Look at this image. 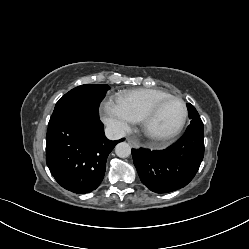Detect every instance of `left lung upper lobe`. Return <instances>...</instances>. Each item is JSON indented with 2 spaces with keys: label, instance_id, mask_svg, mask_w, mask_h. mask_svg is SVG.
<instances>
[{
  "label": "left lung upper lobe",
  "instance_id": "left-lung-upper-lobe-1",
  "mask_svg": "<svg viewBox=\"0 0 249 249\" xmlns=\"http://www.w3.org/2000/svg\"><path fill=\"white\" fill-rule=\"evenodd\" d=\"M187 108H188L189 118L191 119L190 125H193V124L203 125L202 120L200 119V116L198 112L196 111V109L194 108V106L188 103Z\"/></svg>",
  "mask_w": 249,
  "mask_h": 249
}]
</instances>
